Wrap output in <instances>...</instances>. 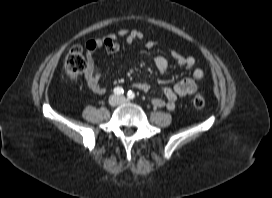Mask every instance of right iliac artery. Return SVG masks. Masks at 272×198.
Returning <instances> with one entry per match:
<instances>
[{"mask_svg": "<svg viewBox=\"0 0 272 198\" xmlns=\"http://www.w3.org/2000/svg\"><path fill=\"white\" fill-rule=\"evenodd\" d=\"M114 93H115L116 95H122V94L124 93V90H123L122 87H116V88L114 89Z\"/></svg>", "mask_w": 272, "mask_h": 198, "instance_id": "obj_1", "label": "right iliac artery"}]
</instances>
